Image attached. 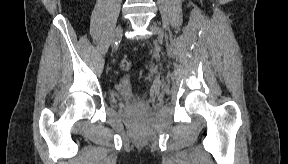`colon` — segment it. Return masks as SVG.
I'll return each instance as SVG.
<instances>
[{
  "label": "colon",
  "instance_id": "1",
  "mask_svg": "<svg viewBox=\"0 0 288 164\" xmlns=\"http://www.w3.org/2000/svg\"><path fill=\"white\" fill-rule=\"evenodd\" d=\"M120 66L124 69V70H128L131 67V61L128 58H123L121 60Z\"/></svg>",
  "mask_w": 288,
  "mask_h": 164
}]
</instances>
